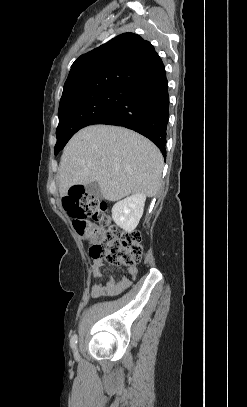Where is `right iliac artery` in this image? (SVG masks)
I'll return each instance as SVG.
<instances>
[{"instance_id": "obj_1", "label": "right iliac artery", "mask_w": 247, "mask_h": 407, "mask_svg": "<svg viewBox=\"0 0 247 407\" xmlns=\"http://www.w3.org/2000/svg\"><path fill=\"white\" fill-rule=\"evenodd\" d=\"M70 345L72 349H76L77 346V335H73L71 340H70Z\"/></svg>"}]
</instances>
